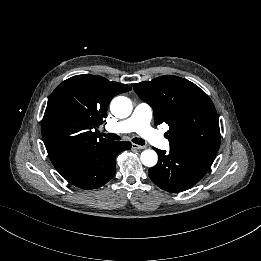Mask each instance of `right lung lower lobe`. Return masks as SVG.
Masks as SVG:
<instances>
[{
	"label": "right lung lower lobe",
	"mask_w": 261,
	"mask_h": 261,
	"mask_svg": "<svg viewBox=\"0 0 261 261\" xmlns=\"http://www.w3.org/2000/svg\"><path fill=\"white\" fill-rule=\"evenodd\" d=\"M130 148V142L114 141L98 150L79 154L57 171L76 187L87 190L99 188L115 175L116 155Z\"/></svg>",
	"instance_id": "1"
}]
</instances>
